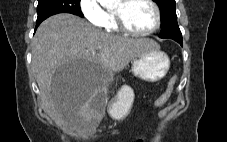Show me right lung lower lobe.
<instances>
[{"label":"right lung lower lobe","mask_w":227,"mask_h":142,"mask_svg":"<svg viewBox=\"0 0 227 142\" xmlns=\"http://www.w3.org/2000/svg\"><path fill=\"white\" fill-rule=\"evenodd\" d=\"M42 21H36V28L38 27V25L41 23Z\"/></svg>","instance_id":"obj_1"}]
</instances>
